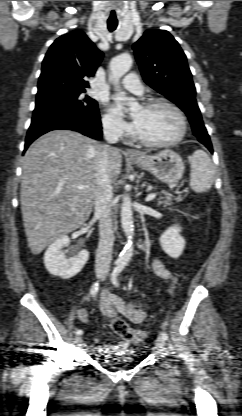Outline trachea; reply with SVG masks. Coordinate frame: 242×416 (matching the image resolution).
I'll list each match as a JSON object with an SVG mask.
<instances>
[{"label":"trachea","instance_id":"trachea-1","mask_svg":"<svg viewBox=\"0 0 242 416\" xmlns=\"http://www.w3.org/2000/svg\"><path fill=\"white\" fill-rule=\"evenodd\" d=\"M117 25H118V23L108 22L107 23L108 30L110 32H113L117 28Z\"/></svg>","mask_w":242,"mask_h":416}]
</instances>
